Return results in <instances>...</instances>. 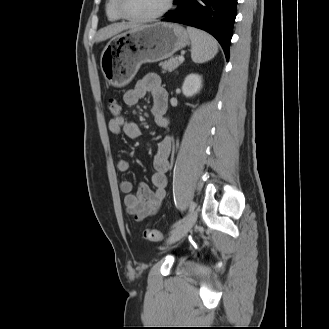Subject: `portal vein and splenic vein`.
<instances>
[{
	"label": "portal vein and splenic vein",
	"instance_id": "obj_1",
	"mask_svg": "<svg viewBox=\"0 0 329 329\" xmlns=\"http://www.w3.org/2000/svg\"><path fill=\"white\" fill-rule=\"evenodd\" d=\"M179 61L183 62L184 61V57L183 56H179Z\"/></svg>",
	"mask_w": 329,
	"mask_h": 329
}]
</instances>
